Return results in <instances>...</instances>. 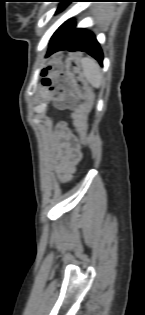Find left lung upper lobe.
<instances>
[{"mask_svg":"<svg viewBox=\"0 0 145 315\" xmlns=\"http://www.w3.org/2000/svg\"><path fill=\"white\" fill-rule=\"evenodd\" d=\"M58 1H61V4L58 7L56 12L62 11L71 2V0H58Z\"/></svg>","mask_w":145,"mask_h":315,"instance_id":"obj_1","label":"left lung upper lobe"}]
</instances>
